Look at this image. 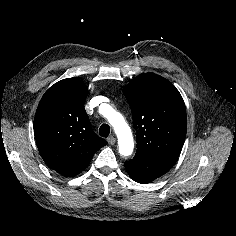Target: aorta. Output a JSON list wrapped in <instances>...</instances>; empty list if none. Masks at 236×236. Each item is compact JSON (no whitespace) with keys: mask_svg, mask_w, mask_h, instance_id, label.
<instances>
[{"mask_svg":"<svg viewBox=\"0 0 236 236\" xmlns=\"http://www.w3.org/2000/svg\"><path fill=\"white\" fill-rule=\"evenodd\" d=\"M104 115L108 118L109 123L112 125L117 135L120 155L124 157L130 156L134 149V141L130 127L125 122L122 115L111 110L109 106Z\"/></svg>","mask_w":236,"mask_h":236,"instance_id":"762f6f07","label":"aorta"}]
</instances>
